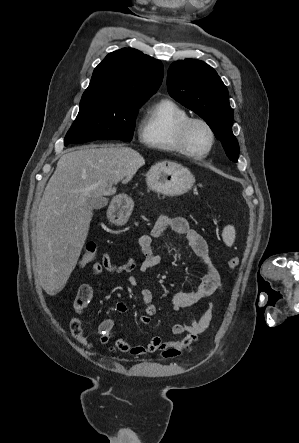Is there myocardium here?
Listing matches in <instances>:
<instances>
[{"label":"myocardium","instance_id":"obj_1","mask_svg":"<svg viewBox=\"0 0 299 443\" xmlns=\"http://www.w3.org/2000/svg\"><path fill=\"white\" fill-rule=\"evenodd\" d=\"M194 123H200L203 126H205V128L208 130L209 135H210V144L209 147L201 153H197L192 151L189 148L188 145V133L189 130L191 128V126ZM215 142H216V135L214 132L213 127L211 126V124L200 117H188L187 119H185L179 126L178 132H177V143L178 146L182 152V154L190 157V158H194V159H202L205 158L206 156H208L211 151L213 150L214 146H215Z\"/></svg>","mask_w":299,"mask_h":443}]
</instances>
